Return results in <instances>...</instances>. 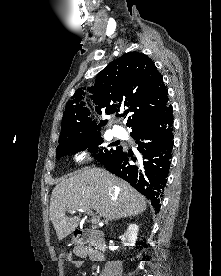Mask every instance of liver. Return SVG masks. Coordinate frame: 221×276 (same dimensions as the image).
Masks as SVG:
<instances>
[{
    "label": "liver",
    "instance_id": "obj_1",
    "mask_svg": "<svg viewBox=\"0 0 221 276\" xmlns=\"http://www.w3.org/2000/svg\"><path fill=\"white\" fill-rule=\"evenodd\" d=\"M145 198L127 182L101 168H85L58 183L52 191L50 219L58 240L71 234L80 217L68 218L67 211L94 210L105 223L135 216L146 210Z\"/></svg>",
    "mask_w": 221,
    "mask_h": 276
}]
</instances>
